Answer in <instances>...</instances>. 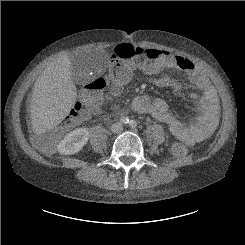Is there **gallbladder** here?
Returning <instances> with one entry per match:
<instances>
[{
	"label": "gallbladder",
	"instance_id": "obj_1",
	"mask_svg": "<svg viewBox=\"0 0 245 245\" xmlns=\"http://www.w3.org/2000/svg\"><path fill=\"white\" fill-rule=\"evenodd\" d=\"M72 68L74 70V76H73V80L75 82H79V72H80V67H79V64H78V60H74L72 62Z\"/></svg>",
	"mask_w": 245,
	"mask_h": 245
}]
</instances>
